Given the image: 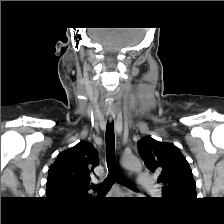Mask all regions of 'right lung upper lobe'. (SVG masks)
<instances>
[{
	"label": "right lung upper lobe",
	"mask_w": 224,
	"mask_h": 224,
	"mask_svg": "<svg viewBox=\"0 0 224 224\" xmlns=\"http://www.w3.org/2000/svg\"><path fill=\"white\" fill-rule=\"evenodd\" d=\"M98 164L97 151L85 141L61 152L49 168L47 198L60 202L84 199L91 187L90 176Z\"/></svg>",
	"instance_id": "obj_1"
}]
</instances>
